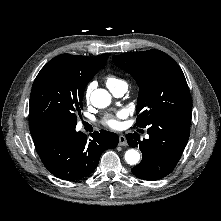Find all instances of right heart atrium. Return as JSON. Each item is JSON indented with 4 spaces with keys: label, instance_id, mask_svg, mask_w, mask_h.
Wrapping results in <instances>:
<instances>
[{
    "label": "right heart atrium",
    "instance_id": "obj_1",
    "mask_svg": "<svg viewBox=\"0 0 221 221\" xmlns=\"http://www.w3.org/2000/svg\"><path fill=\"white\" fill-rule=\"evenodd\" d=\"M94 88V83H90L85 90V98L89 100L90 94Z\"/></svg>",
    "mask_w": 221,
    "mask_h": 221
}]
</instances>
